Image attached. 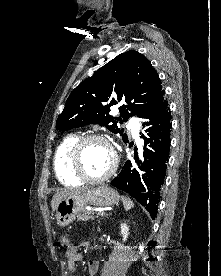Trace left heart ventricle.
I'll list each match as a JSON object with an SVG mask.
<instances>
[{
    "label": "left heart ventricle",
    "mask_w": 221,
    "mask_h": 276,
    "mask_svg": "<svg viewBox=\"0 0 221 276\" xmlns=\"http://www.w3.org/2000/svg\"><path fill=\"white\" fill-rule=\"evenodd\" d=\"M82 164L92 177L104 174L112 165L113 153L108 145L100 141H90L82 149Z\"/></svg>",
    "instance_id": "b2bd125f"
}]
</instances>
